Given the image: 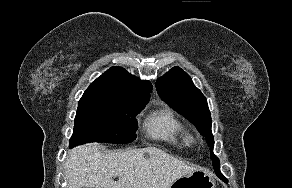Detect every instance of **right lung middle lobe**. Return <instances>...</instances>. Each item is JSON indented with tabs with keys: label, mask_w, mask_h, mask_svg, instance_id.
<instances>
[{
	"label": "right lung middle lobe",
	"mask_w": 292,
	"mask_h": 188,
	"mask_svg": "<svg viewBox=\"0 0 292 188\" xmlns=\"http://www.w3.org/2000/svg\"><path fill=\"white\" fill-rule=\"evenodd\" d=\"M147 102L128 93L88 87L78 102L70 148L88 142H132L138 128L135 117Z\"/></svg>",
	"instance_id": "right-lung-middle-lobe-1"
}]
</instances>
